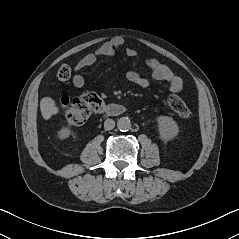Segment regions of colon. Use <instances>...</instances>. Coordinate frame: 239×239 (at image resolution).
Wrapping results in <instances>:
<instances>
[{
    "label": "colon",
    "instance_id": "colon-1",
    "mask_svg": "<svg viewBox=\"0 0 239 239\" xmlns=\"http://www.w3.org/2000/svg\"><path fill=\"white\" fill-rule=\"evenodd\" d=\"M72 75V69L69 65H62L57 72L60 80H68ZM60 104L65 112V117L70 125L79 126L84 124L93 114L103 110V101L95 93H86L80 96H63ZM168 104L171 109L182 119H189L191 113L180 97L170 95Z\"/></svg>",
    "mask_w": 239,
    "mask_h": 239
}]
</instances>
